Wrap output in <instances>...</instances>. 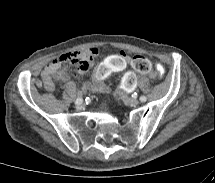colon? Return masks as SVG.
Here are the masks:
<instances>
[{"label":"colon","mask_w":215,"mask_h":183,"mask_svg":"<svg viewBox=\"0 0 215 183\" xmlns=\"http://www.w3.org/2000/svg\"><path fill=\"white\" fill-rule=\"evenodd\" d=\"M84 61L77 59V58H73L66 55H63L60 57V65L61 67H66V66H74V67H79L81 64H83ZM154 70H155V74L157 76H165L167 74V65L165 62L163 61H158L155 63L154 65ZM108 75H104L102 73H100V71L98 72V77L100 78H105ZM125 82L127 84V86H134L136 83V79L133 75L128 74L125 78Z\"/></svg>","instance_id":"obj_1"}]
</instances>
